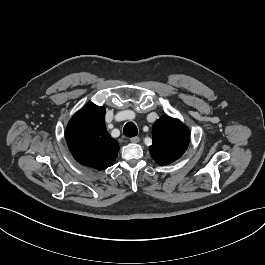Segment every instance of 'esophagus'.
Segmentation results:
<instances>
[{
  "label": "esophagus",
  "mask_w": 265,
  "mask_h": 265,
  "mask_svg": "<svg viewBox=\"0 0 265 265\" xmlns=\"http://www.w3.org/2000/svg\"><path fill=\"white\" fill-rule=\"evenodd\" d=\"M130 141L132 142V143H138L139 141H140V138L139 137H132V138H130Z\"/></svg>",
  "instance_id": "34e87169"
}]
</instances>
